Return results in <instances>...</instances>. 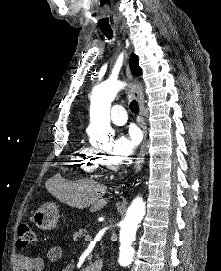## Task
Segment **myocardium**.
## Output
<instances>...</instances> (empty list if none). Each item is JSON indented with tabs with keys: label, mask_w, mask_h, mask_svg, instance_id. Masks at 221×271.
I'll return each instance as SVG.
<instances>
[{
	"label": "myocardium",
	"mask_w": 221,
	"mask_h": 271,
	"mask_svg": "<svg viewBox=\"0 0 221 271\" xmlns=\"http://www.w3.org/2000/svg\"><path fill=\"white\" fill-rule=\"evenodd\" d=\"M107 162L105 163L107 171H124L125 164L128 160L125 158H107Z\"/></svg>",
	"instance_id": "f54148a6"
}]
</instances>
